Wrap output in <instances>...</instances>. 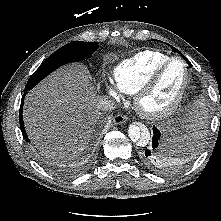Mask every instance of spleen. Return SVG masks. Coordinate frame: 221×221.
<instances>
[{
  "label": "spleen",
  "mask_w": 221,
  "mask_h": 221,
  "mask_svg": "<svg viewBox=\"0 0 221 221\" xmlns=\"http://www.w3.org/2000/svg\"><path fill=\"white\" fill-rule=\"evenodd\" d=\"M174 131L175 132L172 134L173 137L171 138V141L175 145H178L183 141V136L180 132H177V130H174Z\"/></svg>",
  "instance_id": "1"
}]
</instances>
